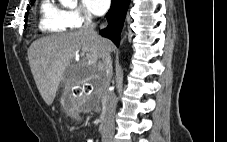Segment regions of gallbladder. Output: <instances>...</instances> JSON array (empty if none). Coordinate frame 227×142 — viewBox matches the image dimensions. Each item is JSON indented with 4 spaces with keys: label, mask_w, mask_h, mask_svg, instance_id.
Instances as JSON below:
<instances>
[{
    "label": "gallbladder",
    "mask_w": 227,
    "mask_h": 142,
    "mask_svg": "<svg viewBox=\"0 0 227 142\" xmlns=\"http://www.w3.org/2000/svg\"><path fill=\"white\" fill-rule=\"evenodd\" d=\"M63 108L67 109V112H70V109L72 108V102H73V97L71 93H66L63 94Z\"/></svg>",
    "instance_id": "bac80fb5"
}]
</instances>
